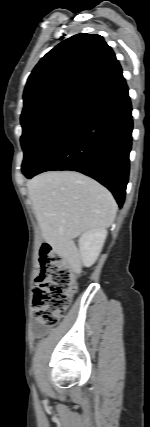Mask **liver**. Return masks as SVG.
Returning a JSON list of instances; mask_svg holds the SVG:
<instances>
[{"instance_id": "6515ba94", "label": "liver", "mask_w": 150, "mask_h": 427, "mask_svg": "<svg viewBox=\"0 0 150 427\" xmlns=\"http://www.w3.org/2000/svg\"><path fill=\"white\" fill-rule=\"evenodd\" d=\"M27 188L42 236L61 256H69L73 239L83 232L108 228L117 212L112 194L78 172H45Z\"/></svg>"}]
</instances>
